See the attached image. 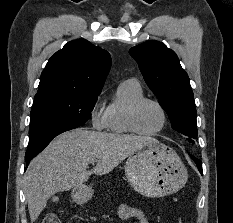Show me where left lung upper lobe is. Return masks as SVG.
I'll use <instances>...</instances> for the list:
<instances>
[{"instance_id": "left-lung-upper-lobe-1", "label": "left lung upper lobe", "mask_w": 233, "mask_h": 223, "mask_svg": "<svg viewBox=\"0 0 233 223\" xmlns=\"http://www.w3.org/2000/svg\"><path fill=\"white\" fill-rule=\"evenodd\" d=\"M140 71L169 115L172 128L194 143L197 137L194 95L187 73L174 51L158 41H148L130 49Z\"/></svg>"}]
</instances>
